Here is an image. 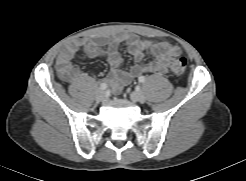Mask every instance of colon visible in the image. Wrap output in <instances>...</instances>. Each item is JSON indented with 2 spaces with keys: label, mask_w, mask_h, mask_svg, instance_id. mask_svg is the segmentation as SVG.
<instances>
[{
  "label": "colon",
  "mask_w": 246,
  "mask_h": 181,
  "mask_svg": "<svg viewBox=\"0 0 246 181\" xmlns=\"http://www.w3.org/2000/svg\"><path fill=\"white\" fill-rule=\"evenodd\" d=\"M187 60L185 57H175L170 61V70L175 76H182L185 73Z\"/></svg>",
  "instance_id": "5ec220e1"
}]
</instances>
